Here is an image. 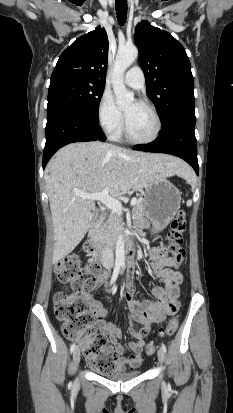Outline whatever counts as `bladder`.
<instances>
[{
  "label": "bladder",
  "mask_w": 233,
  "mask_h": 413,
  "mask_svg": "<svg viewBox=\"0 0 233 413\" xmlns=\"http://www.w3.org/2000/svg\"><path fill=\"white\" fill-rule=\"evenodd\" d=\"M142 374L140 370L118 371L114 373L103 374V377L112 381H125L139 377Z\"/></svg>",
  "instance_id": "31cf9c89"
}]
</instances>
